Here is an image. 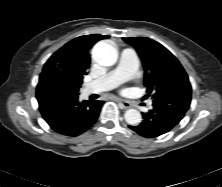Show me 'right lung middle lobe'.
Wrapping results in <instances>:
<instances>
[{"label": "right lung middle lobe", "mask_w": 222, "mask_h": 187, "mask_svg": "<svg viewBox=\"0 0 222 187\" xmlns=\"http://www.w3.org/2000/svg\"><path fill=\"white\" fill-rule=\"evenodd\" d=\"M59 77L62 78L63 82L65 85L74 92H78L79 88L81 87L82 84V77L72 73L69 70H64V71H57L56 72Z\"/></svg>", "instance_id": "right-lung-middle-lobe-1"}]
</instances>
